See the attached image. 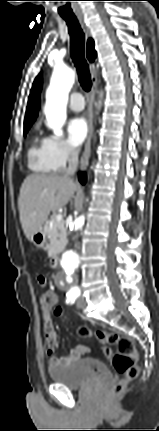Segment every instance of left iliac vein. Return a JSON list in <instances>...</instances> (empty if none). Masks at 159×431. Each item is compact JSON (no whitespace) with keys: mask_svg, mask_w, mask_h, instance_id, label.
<instances>
[{"mask_svg":"<svg viewBox=\"0 0 159 431\" xmlns=\"http://www.w3.org/2000/svg\"><path fill=\"white\" fill-rule=\"evenodd\" d=\"M85 305H86V301H85L84 297H83V296H80V297L77 299V302H76V306H77V308H79V309H83V308L85 307Z\"/></svg>","mask_w":159,"mask_h":431,"instance_id":"obj_1","label":"left iliac vein"}]
</instances>
